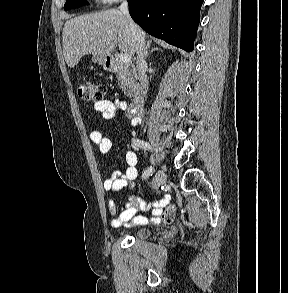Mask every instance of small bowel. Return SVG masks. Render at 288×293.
<instances>
[{"label": "small bowel", "instance_id": "small-bowel-1", "mask_svg": "<svg viewBox=\"0 0 288 293\" xmlns=\"http://www.w3.org/2000/svg\"><path fill=\"white\" fill-rule=\"evenodd\" d=\"M94 108L101 113L104 121L111 120L118 114L127 112L128 116L131 118V124L133 126L138 125L140 122L139 112L135 111L132 107L128 108L126 101L121 98L110 97L103 99L95 103ZM90 141L97 147V152L100 155L107 154L112 148V140L105 136L100 130H94L90 133ZM125 161L127 164L126 170L114 171L112 177L104 182L103 187L105 192L110 194L132 186L133 181L138 175L137 154L134 151H128L125 155ZM168 200L169 198L166 196L153 205V217L150 220L151 223L157 224L160 222L159 216L162 213V208L166 205ZM107 204L110 214L115 215L117 213V208L115 201L111 196L107 198ZM138 207H145V202L140 196L132 194L128 199V203L120 209L118 217L112 220L111 225L113 227H120L127 224L131 219L134 224H146L148 222L147 218L143 216H135Z\"/></svg>", "mask_w": 288, "mask_h": 293}]
</instances>
